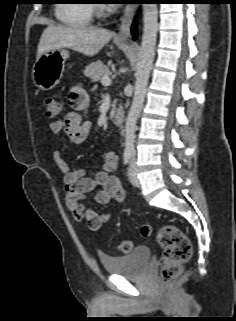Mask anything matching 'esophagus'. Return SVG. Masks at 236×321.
<instances>
[{
    "label": "esophagus",
    "mask_w": 236,
    "mask_h": 321,
    "mask_svg": "<svg viewBox=\"0 0 236 321\" xmlns=\"http://www.w3.org/2000/svg\"><path fill=\"white\" fill-rule=\"evenodd\" d=\"M138 6L134 4H128L121 17V23L118 33L116 34V39L126 40L130 36V28L133 21V18L136 14Z\"/></svg>",
    "instance_id": "esophagus-1"
}]
</instances>
